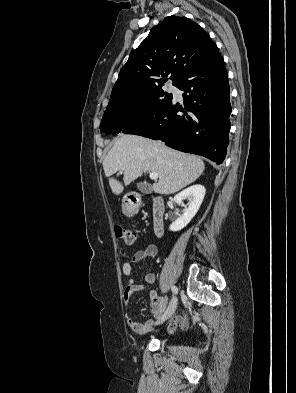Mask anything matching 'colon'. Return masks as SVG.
<instances>
[{
  "mask_svg": "<svg viewBox=\"0 0 296 393\" xmlns=\"http://www.w3.org/2000/svg\"><path fill=\"white\" fill-rule=\"evenodd\" d=\"M115 233L118 238L125 242V244L133 245L135 243V233L133 231L117 226L115 228Z\"/></svg>",
  "mask_w": 296,
  "mask_h": 393,
  "instance_id": "1",
  "label": "colon"
}]
</instances>
